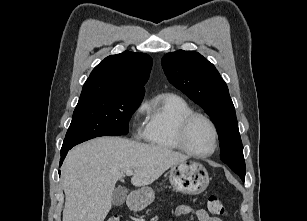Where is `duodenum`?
<instances>
[{
    "instance_id": "410a0bca",
    "label": "duodenum",
    "mask_w": 307,
    "mask_h": 221,
    "mask_svg": "<svg viewBox=\"0 0 307 221\" xmlns=\"http://www.w3.org/2000/svg\"><path fill=\"white\" fill-rule=\"evenodd\" d=\"M138 204H139V197L132 195L131 196V205L134 208H138Z\"/></svg>"
}]
</instances>
